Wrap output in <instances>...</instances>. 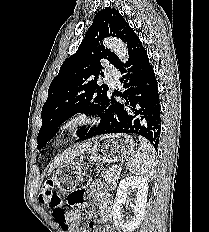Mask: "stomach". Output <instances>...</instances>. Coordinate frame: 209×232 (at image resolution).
Wrapping results in <instances>:
<instances>
[{"label": "stomach", "instance_id": "1", "mask_svg": "<svg viewBox=\"0 0 209 232\" xmlns=\"http://www.w3.org/2000/svg\"><path fill=\"white\" fill-rule=\"evenodd\" d=\"M135 143L127 134L100 136L88 147L87 154L93 161L112 163L128 158L134 151ZM83 156L58 167L53 175L54 184L64 192L74 190L83 178Z\"/></svg>", "mask_w": 209, "mask_h": 232}]
</instances>
